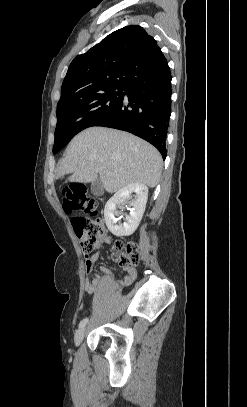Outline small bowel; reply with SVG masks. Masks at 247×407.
<instances>
[{
    "instance_id": "obj_1",
    "label": "small bowel",
    "mask_w": 247,
    "mask_h": 407,
    "mask_svg": "<svg viewBox=\"0 0 247 407\" xmlns=\"http://www.w3.org/2000/svg\"><path fill=\"white\" fill-rule=\"evenodd\" d=\"M109 243V238L108 237H104L102 239V241L100 242V245L98 247V250L101 249V247L104 244H108ZM99 257V252H95L93 255L89 256L86 258L85 261V271L87 273L91 272L93 269V266L95 265V263L97 262ZM100 269L102 270V272L106 275H108L111 279H114V274L112 273V271L104 266L100 267ZM125 271V275L122 281H120L121 285L127 286L130 285L136 278V269L134 267H128L124 269ZM102 285V279L99 276H94L90 281H87L85 284V290L88 294H96L99 290V288Z\"/></svg>"
}]
</instances>
